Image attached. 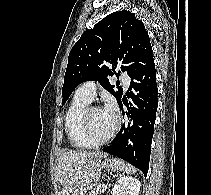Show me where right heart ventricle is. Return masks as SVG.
<instances>
[{"mask_svg":"<svg viewBox=\"0 0 211 195\" xmlns=\"http://www.w3.org/2000/svg\"><path fill=\"white\" fill-rule=\"evenodd\" d=\"M90 100L79 94H75L65 115V130L73 147L76 149H89L92 145L85 139L82 133V114L89 106Z\"/></svg>","mask_w":211,"mask_h":195,"instance_id":"e07e8e85","label":"right heart ventricle"}]
</instances>
